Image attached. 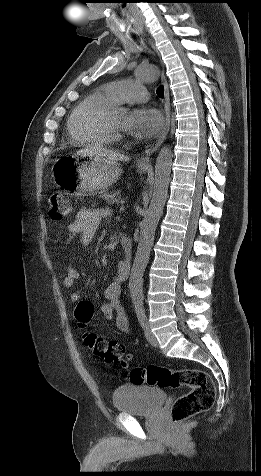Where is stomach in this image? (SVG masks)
<instances>
[{
  "mask_svg": "<svg viewBox=\"0 0 261 476\" xmlns=\"http://www.w3.org/2000/svg\"><path fill=\"white\" fill-rule=\"evenodd\" d=\"M121 173L115 162L77 154L61 156L60 164H54L53 170L56 183H61V190H66L67 195H93L114 184Z\"/></svg>",
  "mask_w": 261,
  "mask_h": 476,
  "instance_id": "1",
  "label": "stomach"
}]
</instances>
